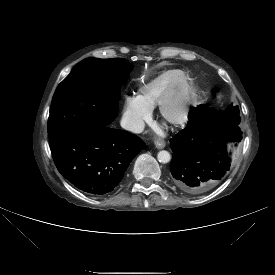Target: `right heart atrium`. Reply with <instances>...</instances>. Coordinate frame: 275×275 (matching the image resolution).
I'll return each mask as SVG.
<instances>
[{"mask_svg": "<svg viewBox=\"0 0 275 275\" xmlns=\"http://www.w3.org/2000/svg\"><path fill=\"white\" fill-rule=\"evenodd\" d=\"M151 118V110L142 105L136 96H127L123 105V119L127 127L140 132Z\"/></svg>", "mask_w": 275, "mask_h": 275, "instance_id": "obj_1", "label": "right heart atrium"}]
</instances>
